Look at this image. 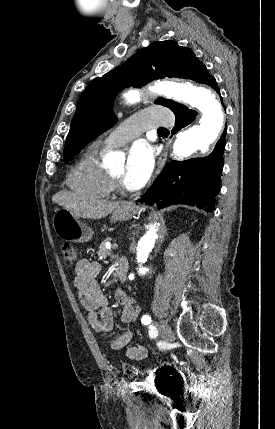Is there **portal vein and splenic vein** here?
<instances>
[{
	"label": "portal vein and splenic vein",
	"mask_w": 275,
	"mask_h": 429,
	"mask_svg": "<svg viewBox=\"0 0 275 429\" xmlns=\"http://www.w3.org/2000/svg\"><path fill=\"white\" fill-rule=\"evenodd\" d=\"M113 247H114V248H117V247H118V244H117V243H115V244L113 245ZM108 248H110V246H109Z\"/></svg>",
	"instance_id": "portal-vein-and-splenic-vein-1"
}]
</instances>
